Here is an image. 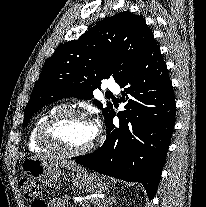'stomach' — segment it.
Here are the masks:
<instances>
[{
  "label": "stomach",
  "mask_w": 206,
  "mask_h": 207,
  "mask_svg": "<svg viewBox=\"0 0 206 207\" xmlns=\"http://www.w3.org/2000/svg\"><path fill=\"white\" fill-rule=\"evenodd\" d=\"M21 171L48 186L56 185L62 178L71 179L73 186L88 193H103L108 190L109 183L94 173L83 168L66 172L60 164L51 160L26 158L21 163Z\"/></svg>",
  "instance_id": "1"
}]
</instances>
